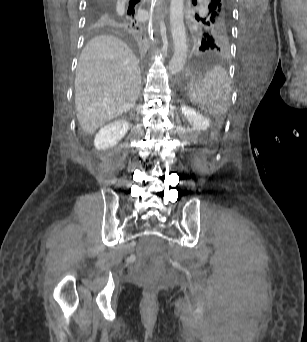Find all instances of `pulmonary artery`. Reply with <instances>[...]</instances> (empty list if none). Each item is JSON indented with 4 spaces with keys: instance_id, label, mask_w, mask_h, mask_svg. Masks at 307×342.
<instances>
[{
    "instance_id": "1",
    "label": "pulmonary artery",
    "mask_w": 307,
    "mask_h": 342,
    "mask_svg": "<svg viewBox=\"0 0 307 342\" xmlns=\"http://www.w3.org/2000/svg\"><path fill=\"white\" fill-rule=\"evenodd\" d=\"M122 10H124V6H122Z\"/></svg>"
}]
</instances>
